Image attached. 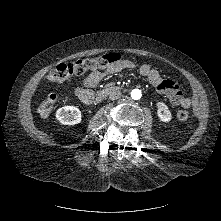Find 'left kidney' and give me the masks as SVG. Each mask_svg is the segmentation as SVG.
I'll return each mask as SVG.
<instances>
[{
	"mask_svg": "<svg viewBox=\"0 0 221 221\" xmlns=\"http://www.w3.org/2000/svg\"><path fill=\"white\" fill-rule=\"evenodd\" d=\"M157 106V114H158V117L159 119L162 121V122H169L171 120V112L169 111L167 105L163 102H158L156 104Z\"/></svg>",
	"mask_w": 221,
	"mask_h": 221,
	"instance_id": "1",
	"label": "left kidney"
}]
</instances>
